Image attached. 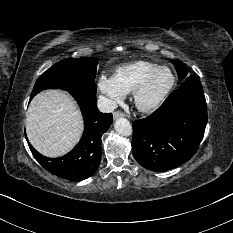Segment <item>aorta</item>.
Here are the masks:
<instances>
[{
	"mask_svg": "<svg viewBox=\"0 0 233 233\" xmlns=\"http://www.w3.org/2000/svg\"><path fill=\"white\" fill-rule=\"evenodd\" d=\"M114 127L116 132L121 136H130L133 131L130 122L123 117L116 119Z\"/></svg>",
	"mask_w": 233,
	"mask_h": 233,
	"instance_id": "obj_1",
	"label": "aorta"
}]
</instances>
